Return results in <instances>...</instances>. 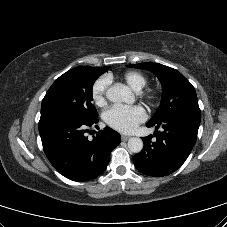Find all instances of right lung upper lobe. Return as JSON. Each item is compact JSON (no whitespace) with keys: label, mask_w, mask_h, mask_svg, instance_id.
Listing matches in <instances>:
<instances>
[{"label":"right lung upper lobe","mask_w":227,"mask_h":227,"mask_svg":"<svg viewBox=\"0 0 227 227\" xmlns=\"http://www.w3.org/2000/svg\"><path fill=\"white\" fill-rule=\"evenodd\" d=\"M96 68H98L100 70H105V71H107L109 69V67H96Z\"/></svg>","instance_id":"1"}]
</instances>
